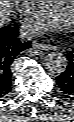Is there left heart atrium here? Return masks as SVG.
<instances>
[{"label": "left heart atrium", "instance_id": "left-heart-atrium-1", "mask_svg": "<svg viewBox=\"0 0 74 122\" xmlns=\"http://www.w3.org/2000/svg\"><path fill=\"white\" fill-rule=\"evenodd\" d=\"M64 19L54 14L49 6L41 8L30 20L29 29L35 33L58 29L63 25Z\"/></svg>", "mask_w": 74, "mask_h": 122}]
</instances>
